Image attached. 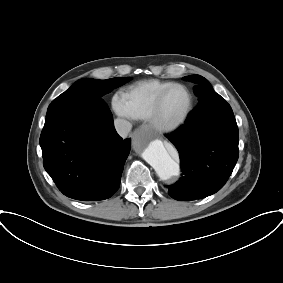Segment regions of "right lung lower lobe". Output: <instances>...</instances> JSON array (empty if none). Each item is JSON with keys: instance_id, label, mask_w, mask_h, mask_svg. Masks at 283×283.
I'll return each instance as SVG.
<instances>
[{"instance_id": "98d812e1", "label": "right lung lower lobe", "mask_w": 283, "mask_h": 283, "mask_svg": "<svg viewBox=\"0 0 283 283\" xmlns=\"http://www.w3.org/2000/svg\"><path fill=\"white\" fill-rule=\"evenodd\" d=\"M40 146L44 168L59 190L81 201L104 200L117 191L131 147L102 102L46 117Z\"/></svg>"}]
</instances>
